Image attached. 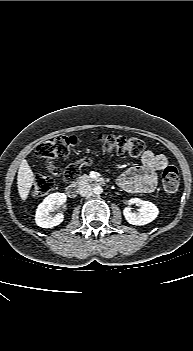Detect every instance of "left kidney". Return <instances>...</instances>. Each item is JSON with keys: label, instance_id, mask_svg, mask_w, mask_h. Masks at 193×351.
<instances>
[{"label": "left kidney", "instance_id": "obj_1", "mask_svg": "<svg viewBox=\"0 0 193 351\" xmlns=\"http://www.w3.org/2000/svg\"><path fill=\"white\" fill-rule=\"evenodd\" d=\"M138 204L140 209L137 213L131 211L130 207H126L123 210V215L128 223L132 225H145L153 220L158 216L159 209L155 204L149 201H143L139 198H132L129 200V204Z\"/></svg>", "mask_w": 193, "mask_h": 351}]
</instances>
